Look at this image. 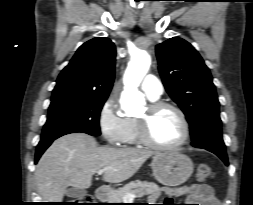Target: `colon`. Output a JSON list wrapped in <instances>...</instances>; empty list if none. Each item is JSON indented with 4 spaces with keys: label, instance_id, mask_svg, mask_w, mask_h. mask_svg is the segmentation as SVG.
Masks as SVG:
<instances>
[{
    "label": "colon",
    "instance_id": "5ec220e1",
    "mask_svg": "<svg viewBox=\"0 0 253 205\" xmlns=\"http://www.w3.org/2000/svg\"><path fill=\"white\" fill-rule=\"evenodd\" d=\"M214 176L213 170L207 163H200L197 167V181L205 183L211 180ZM73 205H92V199L90 196H82L74 200Z\"/></svg>",
    "mask_w": 253,
    "mask_h": 205
}]
</instances>
